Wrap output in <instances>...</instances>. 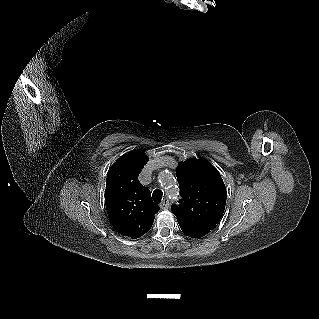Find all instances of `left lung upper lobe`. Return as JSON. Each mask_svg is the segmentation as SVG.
Wrapping results in <instances>:
<instances>
[{"instance_id": "1", "label": "left lung upper lobe", "mask_w": 319, "mask_h": 319, "mask_svg": "<svg viewBox=\"0 0 319 319\" xmlns=\"http://www.w3.org/2000/svg\"><path fill=\"white\" fill-rule=\"evenodd\" d=\"M176 177L182 199L173 205L177 221L212 230L225 209L227 192L218 170L207 160L188 159L178 165Z\"/></svg>"}]
</instances>
